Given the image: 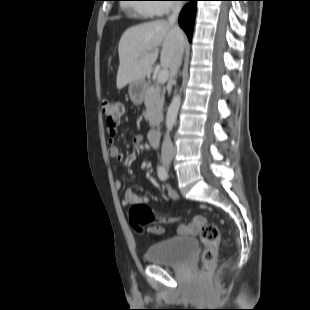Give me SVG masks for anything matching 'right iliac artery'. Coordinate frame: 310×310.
Wrapping results in <instances>:
<instances>
[{
	"label": "right iliac artery",
	"instance_id": "obj_1",
	"mask_svg": "<svg viewBox=\"0 0 310 310\" xmlns=\"http://www.w3.org/2000/svg\"><path fill=\"white\" fill-rule=\"evenodd\" d=\"M157 174H158V177L159 179L161 180H166L167 177H168V173H167V170L164 166L160 165L158 166L157 168Z\"/></svg>",
	"mask_w": 310,
	"mask_h": 310
}]
</instances>
